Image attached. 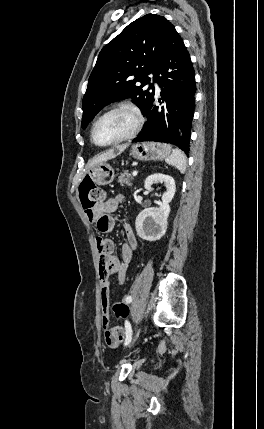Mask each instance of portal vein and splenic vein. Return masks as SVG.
<instances>
[{"label":"portal vein and splenic vein","instance_id":"obj_1","mask_svg":"<svg viewBox=\"0 0 264 429\" xmlns=\"http://www.w3.org/2000/svg\"><path fill=\"white\" fill-rule=\"evenodd\" d=\"M137 174H138V171H137V170H134V171L132 172V175H133V176H137Z\"/></svg>","mask_w":264,"mask_h":429}]
</instances>
